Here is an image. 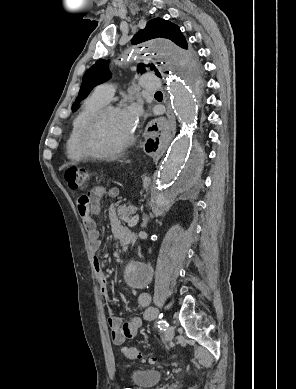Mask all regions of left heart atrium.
<instances>
[{"instance_id":"obj_1","label":"left heart atrium","mask_w":296,"mask_h":389,"mask_svg":"<svg viewBox=\"0 0 296 389\" xmlns=\"http://www.w3.org/2000/svg\"><path fill=\"white\" fill-rule=\"evenodd\" d=\"M124 114L131 126L132 129H134L137 125V122L139 120V117L141 115V107L138 104H132L128 106L124 111Z\"/></svg>"}]
</instances>
